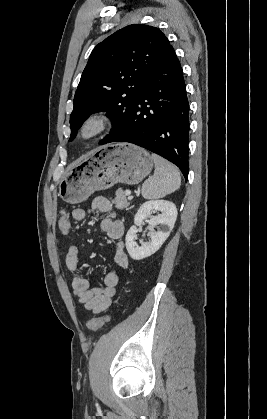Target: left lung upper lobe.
<instances>
[{
    "label": "left lung upper lobe",
    "mask_w": 267,
    "mask_h": 419,
    "mask_svg": "<svg viewBox=\"0 0 267 419\" xmlns=\"http://www.w3.org/2000/svg\"><path fill=\"white\" fill-rule=\"evenodd\" d=\"M169 46L158 28L144 24L126 26L96 45L75 93L70 141L92 113L106 111L113 126L120 123Z\"/></svg>",
    "instance_id": "1"
}]
</instances>
